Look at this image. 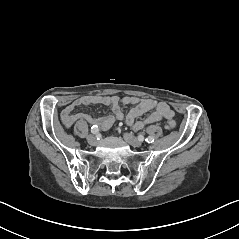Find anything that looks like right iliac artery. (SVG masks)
<instances>
[{"instance_id":"1","label":"right iliac artery","mask_w":239,"mask_h":239,"mask_svg":"<svg viewBox=\"0 0 239 239\" xmlns=\"http://www.w3.org/2000/svg\"><path fill=\"white\" fill-rule=\"evenodd\" d=\"M91 133L93 134H98L99 133V128L98 126L94 125L91 127Z\"/></svg>"}]
</instances>
